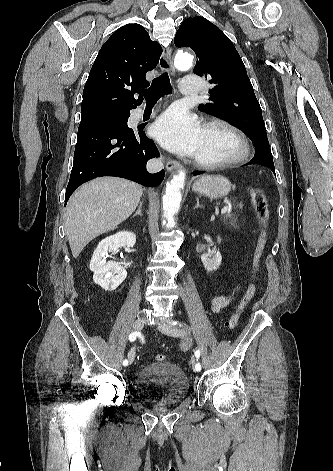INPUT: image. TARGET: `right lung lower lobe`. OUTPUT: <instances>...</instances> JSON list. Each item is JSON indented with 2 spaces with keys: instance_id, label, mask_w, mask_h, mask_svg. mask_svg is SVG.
<instances>
[{
  "instance_id": "98d812e1",
  "label": "right lung lower lobe",
  "mask_w": 333,
  "mask_h": 471,
  "mask_svg": "<svg viewBox=\"0 0 333 471\" xmlns=\"http://www.w3.org/2000/svg\"><path fill=\"white\" fill-rule=\"evenodd\" d=\"M129 116L128 111L123 117L109 116L79 125L65 204L76 188L96 177L117 176L149 187L162 182L163 170L155 174L146 170L147 161L159 156L158 149L145 135V125L137 129L127 126Z\"/></svg>"
}]
</instances>
